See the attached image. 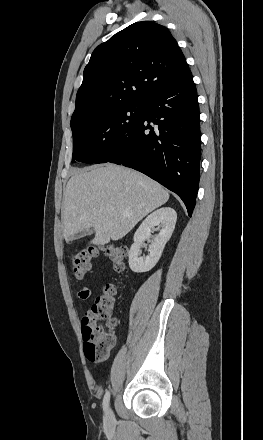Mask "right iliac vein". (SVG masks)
<instances>
[{
  "instance_id": "right-iliac-vein-1",
  "label": "right iliac vein",
  "mask_w": 263,
  "mask_h": 440,
  "mask_svg": "<svg viewBox=\"0 0 263 440\" xmlns=\"http://www.w3.org/2000/svg\"><path fill=\"white\" fill-rule=\"evenodd\" d=\"M104 425L107 428L113 427L115 425V417L111 408H107L104 415Z\"/></svg>"
}]
</instances>
